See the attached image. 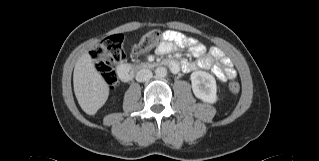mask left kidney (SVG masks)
I'll list each match as a JSON object with an SVG mask.
<instances>
[{"mask_svg":"<svg viewBox=\"0 0 319 161\" xmlns=\"http://www.w3.org/2000/svg\"><path fill=\"white\" fill-rule=\"evenodd\" d=\"M194 95L203 102L213 104L217 101L215 78L205 71H195L190 76Z\"/></svg>","mask_w":319,"mask_h":161,"instance_id":"5707ae66","label":"left kidney"}]
</instances>
